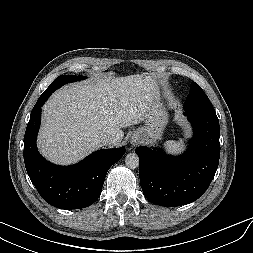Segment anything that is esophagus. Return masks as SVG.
<instances>
[{"instance_id":"obj_1","label":"esophagus","mask_w":253,"mask_h":253,"mask_svg":"<svg viewBox=\"0 0 253 253\" xmlns=\"http://www.w3.org/2000/svg\"><path fill=\"white\" fill-rule=\"evenodd\" d=\"M130 142L133 146H137L141 143V138L138 135H133Z\"/></svg>"}]
</instances>
